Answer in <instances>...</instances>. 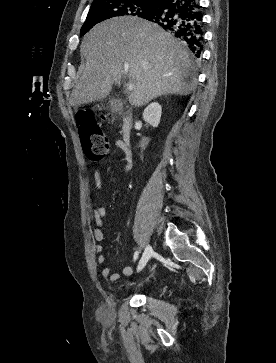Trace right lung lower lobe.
Listing matches in <instances>:
<instances>
[{"instance_id":"98d812e1","label":"right lung lower lobe","mask_w":276,"mask_h":363,"mask_svg":"<svg viewBox=\"0 0 276 363\" xmlns=\"http://www.w3.org/2000/svg\"><path fill=\"white\" fill-rule=\"evenodd\" d=\"M199 0H163L148 17L186 43L199 57L203 50V23Z\"/></svg>"}]
</instances>
